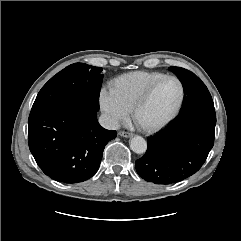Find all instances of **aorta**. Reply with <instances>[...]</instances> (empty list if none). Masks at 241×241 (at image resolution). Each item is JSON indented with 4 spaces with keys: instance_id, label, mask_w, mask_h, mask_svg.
<instances>
[{
    "instance_id": "aorta-1",
    "label": "aorta",
    "mask_w": 241,
    "mask_h": 241,
    "mask_svg": "<svg viewBox=\"0 0 241 241\" xmlns=\"http://www.w3.org/2000/svg\"><path fill=\"white\" fill-rule=\"evenodd\" d=\"M129 144H130L131 150L137 154H143L147 150V142L141 136H134L130 140Z\"/></svg>"
}]
</instances>
